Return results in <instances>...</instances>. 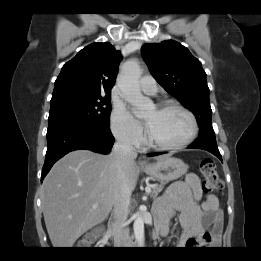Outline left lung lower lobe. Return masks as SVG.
Segmentation results:
<instances>
[{"instance_id":"1","label":"left lung lower lobe","mask_w":261,"mask_h":261,"mask_svg":"<svg viewBox=\"0 0 261 261\" xmlns=\"http://www.w3.org/2000/svg\"><path fill=\"white\" fill-rule=\"evenodd\" d=\"M188 148L206 150V151L214 154L216 157H218L222 161V157L218 150L215 136H213V135H204V136L198 137V139L193 144L188 146ZM164 153L165 152L149 153L148 156L152 157V156H157V155H161Z\"/></svg>"}]
</instances>
